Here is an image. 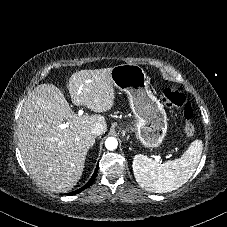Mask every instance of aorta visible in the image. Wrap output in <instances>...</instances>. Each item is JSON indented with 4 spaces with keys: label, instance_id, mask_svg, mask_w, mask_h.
Listing matches in <instances>:
<instances>
[{
    "label": "aorta",
    "instance_id": "762f6f07",
    "mask_svg": "<svg viewBox=\"0 0 227 227\" xmlns=\"http://www.w3.org/2000/svg\"><path fill=\"white\" fill-rule=\"evenodd\" d=\"M118 146V141L115 137H109L105 141V147L108 150H115Z\"/></svg>",
    "mask_w": 227,
    "mask_h": 227
}]
</instances>
